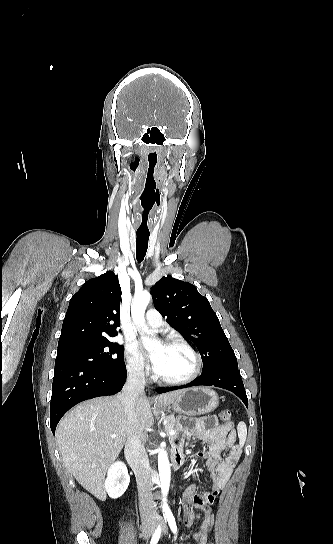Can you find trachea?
I'll return each instance as SVG.
<instances>
[{
	"label": "trachea",
	"mask_w": 333,
	"mask_h": 544,
	"mask_svg": "<svg viewBox=\"0 0 333 544\" xmlns=\"http://www.w3.org/2000/svg\"><path fill=\"white\" fill-rule=\"evenodd\" d=\"M149 234L137 233L136 239V259L140 263L143 261L148 248Z\"/></svg>",
	"instance_id": "3493384b"
}]
</instances>
